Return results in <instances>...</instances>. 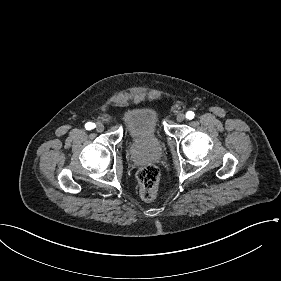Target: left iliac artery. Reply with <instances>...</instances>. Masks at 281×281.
Wrapping results in <instances>:
<instances>
[{"mask_svg": "<svg viewBox=\"0 0 281 281\" xmlns=\"http://www.w3.org/2000/svg\"><path fill=\"white\" fill-rule=\"evenodd\" d=\"M194 116H195V114H194V112H192V111H188V112L186 113V117H187L188 119H193Z\"/></svg>", "mask_w": 281, "mask_h": 281, "instance_id": "1", "label": "left iliac artery"}]
</instances>
